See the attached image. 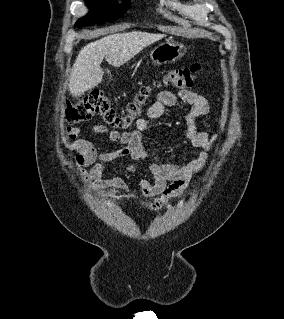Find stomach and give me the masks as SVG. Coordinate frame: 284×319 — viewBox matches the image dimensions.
<instances>
[{"instance_id":"obj_1","label":"stomach","mask_w":284,"mask_h":319,"mask_svg":"<svg viewBox=\"0 0 284 319\" xmlns=\"http://www.w3.org/2000/svg\"><path fill=\"white\" fill-rule=\"evenodd\" d=\"M187 49L179 42L166 41L156 46L150 53L152 62L156 65L172 63L182 58Z\"/></svg>"}]
</instances>
